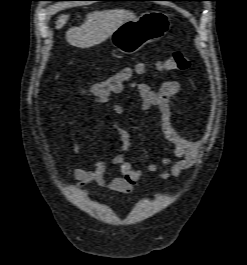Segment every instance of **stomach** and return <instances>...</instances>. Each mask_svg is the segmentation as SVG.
Segmentation results:
<instances>
[{
    "label": "stomach",
    "instance_id": "stomach-1",
    "mask_svg": "<svg viewBox=\"0 0 247 265\" xmlns=\"http://www.w3.org/2000/svg\"><path fill=\"white\" fill-rule=\"evenodd\" d=\"M170 28L169 16L157 10L147 11L118 27L110 36L118 51L133 54L146 44L161 39Z\"/></svg>",
    "mask_w": 247,
    "mask_h": 265
}]
</instances>
